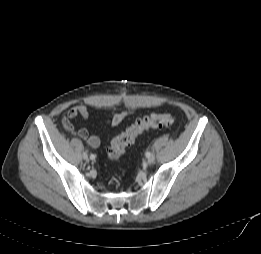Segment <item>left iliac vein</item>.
Returning a JSON list of instances; mask_svg holds the SVG:
<instances>
[{"label": "left iliac vein", "mask_w": 261, "mask_h": 254, "mask_svg": "<svg viewBox=\"0 0 261 254\" xmlns=\"http://www.w3.org/2000/svg\"><path fill=\"white\" fill-rule=\"evenodd\" d=\"M155 162V156L151 155L149 158H147V163L149 165L153 164Z\"/></svg>", "instance_id": "left-iliac-vein-1"}]
</instances>
